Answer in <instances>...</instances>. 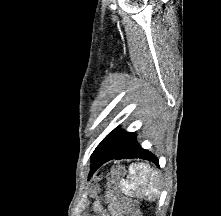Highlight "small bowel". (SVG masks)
I'll return each mask as SVG.
<instances>
[{
    "label": "small bowel",
    "instance_id": "1",
    "mask_svg": "<svg viewBox=\"0 0 221 216\" xmlns=\"http://www.w3.org/2000/svg\"><path fill=\"white\" fill-rule=\"evenodd\" d=\"M106 202L108 204L109 214L103 213L99 205L96 206V210L99 211L102 216H122L117 204L109 195L106 196Z\"/></svg>",
    "mask_w": 221,
    "mask_h": 216
}]
</instances>
